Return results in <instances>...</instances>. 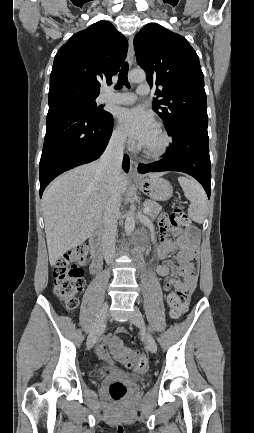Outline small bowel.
<instances>
[{"label": "small bowel", "instance_id": "c3829d8e", "mask_svg": "<svg viewBox=\"0 0 254 433\" xmlns=\"http://www.w3.org/2000/svg\"><path fill=\"white\" fill-rule=\"evenodd\" d=\"M161 234L160 244L157 248L158 257L165 263L157 265L156 272L159 276L166 279L164 289L166 291L174 289L180 299L187 302L196 287L198 276L197 242L198 236L180 234L177 230H171L166 221L161 220L159 224ZM173 232L178 237L175 241L167 238L168 233ZM177 251L178 262L176 266L167 263L171 253ZM183 277V280L177 278ZM112 341V336L105 335L100 339L97 346L98 354L106 361L111 362V357L106 345Z\"/></svg>", "mask_w": 254, "mask_h": 433}]
</instances>
